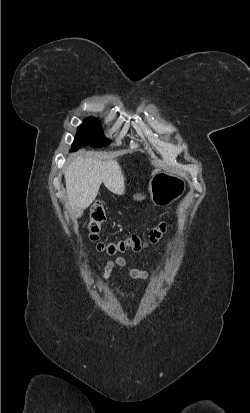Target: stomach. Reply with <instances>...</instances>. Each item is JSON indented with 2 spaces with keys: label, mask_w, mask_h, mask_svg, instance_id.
<instances>
[{
  "label": "stomach",
  "mask_w": 250,
  "mask_h": 413,
  "mask_svg": "<svg viewBox=\"0 0 250 413\" xmlns=\"http://www.w3.org/2000/svg\"><path fill=\"white\" fill-rule=\"evenodd\" d=\"M148 189L154 205L165 207L178 200L185 193L186 181L175 174L161 172L151 178ZM133 198L136 201L145 199L141 194H136Z\"/></svg>",
  "instance_id": "stomach-1"
}]
</instances>
